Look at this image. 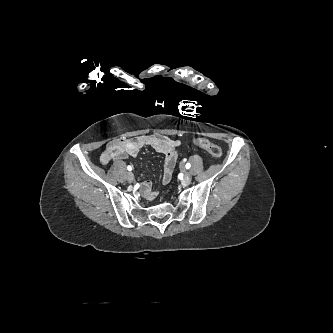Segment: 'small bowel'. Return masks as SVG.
I'll return each mask as SVG.
<instances>
[{
	"mask_svg": "<svg viewBox=\"0 0 333 333\" xmlns=\"http://www.w3.org/2000/svg\"><path fill=\"white\" fill-rule=\"evenodd\" d=\"M181 145L179 140L171 139L163 134H148L133 139H116L111 141L100 156L103 165L113 160L124 159L129 156L135 157L141 149L151 147L165 156L164 170L161 177L163 184L170 182L178 159V149ZM144 196L152 200L156 197V191L151 182L146 181L141 185Z\"/></svg>",
	"mask_w": 333,
	"mask_h": 333,
	"instance_id": "1",
	"label": "small bowel"
}]
</instances>
